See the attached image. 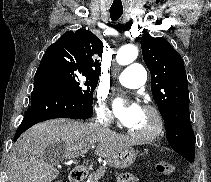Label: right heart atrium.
I'll use <instances>...</instances> for the list:
<instances>
[{"label": "right heart atrium", "mask_w": 211, "mask_h": 182, "mask_svg": "<svg viewBox=\"0 0 211 182\" xmlns=\"http://www.w3.org/2000/svg\"><path fill=\"white\" fill-rule=\"evenodd\" d=\"M94 114L100 124H109L113 119L112 112L106 103L104 95L101 93H98L95 97Z\"/></svg>", "instance_id": "right-heart-atrium-1"}]
</instances>
